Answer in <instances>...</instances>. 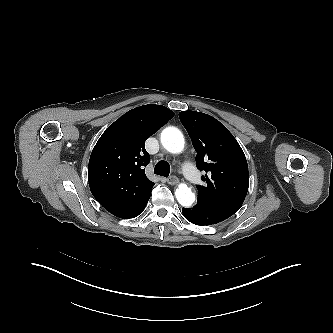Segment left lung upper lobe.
Returning a JSON list of instances; mask_svg holds the SVG:
<instances>
[{
  "instance_id": "left-lung-upper-lobe-1",
  "label": "left lung upper lobe",
  "mask_w": 333,
  "mask_h": 333,
  "mask_svg": "<svg viewBox=\"0 0 333 333\" xmlns=\"http://www.w3.org/2000/svg\"><path fill=\"white\" fill-rule=\"evenodd\" d=\"M180 121L197 152L196 166L206 174L198 185V199L230 215L242 206L249 187L248 165L240 145L228 129L214 117L182 111Z\"/></svg>"
}]
</instances>
